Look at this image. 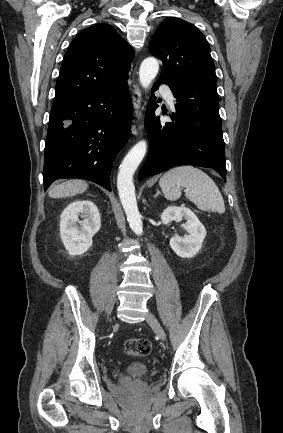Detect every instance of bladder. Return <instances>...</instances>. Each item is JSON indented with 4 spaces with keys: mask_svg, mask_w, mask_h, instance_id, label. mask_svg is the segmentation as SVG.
Listing matches in <instances>:
<instances>
[{
    "mask_svg": "<svg viewBox=\"0 0 283 433\" xmlns=\"http://www.w3.org/2000/svg\"><path fill=\"white\" fill-rule=\"evenodd\" d=\"M129 373L135 377L145 376L148 373V365L134 363Z\"/></svg>",
    "mask_w": 283,
    "mask_h": 433,
    "instance_id": "31cf9c89",
    "label": "bladder"
}]
</instances>
